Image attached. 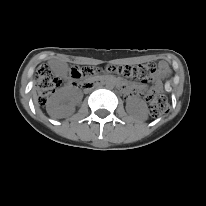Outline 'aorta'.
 Masks as SVG:
<instances>
[{"instance_id":"aorta-1","label":"aorta","mask_w":206,"mask_h":206,"mask_svg":"<svg viewBox=\"0 0 206 206\" xmlns=\"http://www.w3.org/2000/svg\"><path fill=\"white\" fill-rule=\"evenodd\" d=\"M114 86H115V84H114V82H113L111 79H107V80H106V87H107L108 89H113Z\"/></svg>"}]
</instances>
